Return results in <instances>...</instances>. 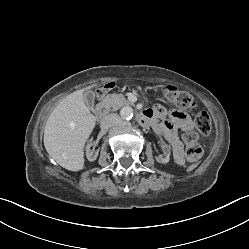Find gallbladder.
<instances>
[{"label": "gallbladder", "mask_w": 249, "mask_h": 249, "mask_svg": "<svg viewBox=\"0 0 249 249\" xmlns=\"http://www.w3.org/2000/svg\"><path fill=\"white\" fill-rule=\"evenodd\" d=\"M84 101L87 104V106L93 111L94 105H95V94L91 90H86L84 92Z\"/></svg>", "instance_id": "bac80fb5"}]
</instances>
